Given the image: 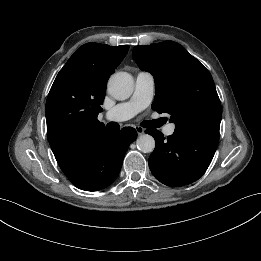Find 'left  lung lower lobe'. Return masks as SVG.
Returning a JSON list of instances; mask_svg holds the SVG:
<instances>
[{
    "label": "left lung lower lobe",
    "mask_w": 261,
    "mask_h": 261,
    "mask_svg": "<svg viewBox=\"0 0 261 261\" xmlns=\"http://www.w3.org/2000/svg\"><path fill=\"white\" fill-rule=\"evenodd\" d=\"M156 146L149 157V167L157 180L179 187L198 180L210 165L219 138L174 132L167 139L158 130H146Z\"/></svg>",
    "instance_id": "obj_1"
}]
</instances>
